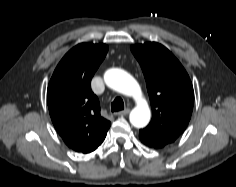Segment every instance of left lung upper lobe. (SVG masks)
Instances as JSON below:
<instances>
[{
	"label": "left lung upper lobe",
	"mask_w": 236,
	"mask_h": 187,
	"mask_svg": "<svg viewBox=\"0 0 236 187\" xmlns=\"http://www.w3.org/2000/svg\"><path fill=\"white\" fill-rule=\"evenodd\" d=\"M131 51L141 65L152 107V121L139 137L163 147L174 142L190 121L193 86L181 63L163 45H132Z\"/></svg>",
	"instance_id": "obj_1"
}]
</instances>
